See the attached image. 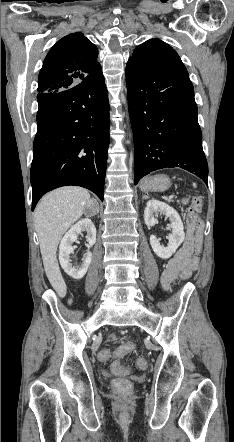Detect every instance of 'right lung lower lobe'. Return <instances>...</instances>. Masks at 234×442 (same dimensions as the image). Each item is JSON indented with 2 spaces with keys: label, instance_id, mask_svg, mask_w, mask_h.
Here are the masks:
<instances>
[{
  "label": "right lung lower lobe",
  "instance_id": "right-lung-lower-lobe-1",
  "mask_svg": "<svg viewBox=\"0 0 234 442\" xmlns=\"http://www.w3.org/2000/svg\"><path fill=\"white\" fill-rule=\"evenodd\" d=\"M37 100L32 210L46 192L66 185L85 187L103 201L110 118L102 70Z\"/></svg>",
  "mask_w": 234,
  "mask_h": 442
}]
</instances>
